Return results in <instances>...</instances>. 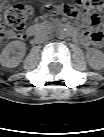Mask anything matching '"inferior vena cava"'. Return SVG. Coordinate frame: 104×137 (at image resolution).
Listing matches in <instances>:
<instances>
[{"mask_svg":"<svg viewBox=\"0 0 104 137\" xmlns=\"http://www.w3.org/2000/svg\"><path fill=\"white\" fill-rule=\"evenodd\" d=\"M36 40H37V42L42 43V42H44L45 37H44V35L39 34V35H37Z\"/></svg>","mask_w":104,"mask_h":137,"instance_id":"inferior-vena-cava-1","label":"inferior vena cava"}]
</instances>
